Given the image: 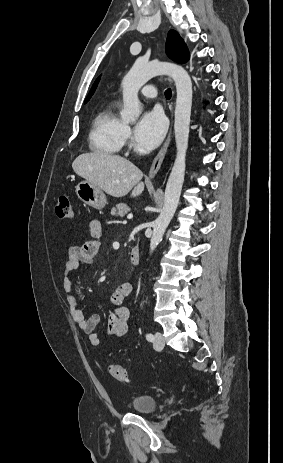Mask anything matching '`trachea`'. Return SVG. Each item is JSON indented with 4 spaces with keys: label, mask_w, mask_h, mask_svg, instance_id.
Instances as JSON below:
<instances>
[{
    "label": "trachea",
    "mask_w": 283,
    "mask_h": 463,
    "mask_svg": "<svg viewBox=\"0 0 283 463\" xmlns=\"http://www.w3.org/2000/svg\"><path fill=\"white\" fill-rule=\"evenodd\" d=\"M165 97H166L167 99H170V98H171V89H170V88H168V89L165 91Z\"/></svg>",
    "instance_id": "1"
}]
</instances>
